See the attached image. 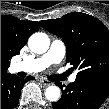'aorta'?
I'll return each mask as SVG.
<instances>
[{
    "mask_svg": "<svg viewBox=\"0 0 109 109\" xmlns=\"http://www.w3.org/2000/svg\"><path fill=\"white\" fill-rule=\"evenodd\" d=\"M28 46L34 53L43 54L49 49L50 39L47 34L36 32L30 36ZM45 96L51 102L58 101L61 96L60 88L55 85L49 86L45 91Z\"/></svg>",
    "mask_w": 109,
    "mask_h": 109,
    "instance_id": "1",
    "label": "aorta"
}]
</instances>
